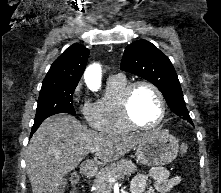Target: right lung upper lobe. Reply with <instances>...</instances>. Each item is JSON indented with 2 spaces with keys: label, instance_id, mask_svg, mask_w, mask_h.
I'll list each match as a JSON object with an SVG mask.
<instances>
[{
  "label": "right lung upper lobe",
  "instance_id": "obj_1",
  "mask_svg": "<svg viewBox=\"0 0 221 193\" xmlns=\"http://www.w3.org/2000/svg\"><path fill=\"white\" fill-rule=\"evenodd\" d=\"M89 50L75 43L51 65L42 88L77 86L87 64Z\"/></svg>",
  "mask_w": 221,
  "mask_h": 193
}]
</instances>
